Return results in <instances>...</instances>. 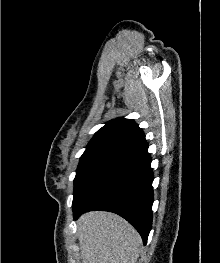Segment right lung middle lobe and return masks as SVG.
I'll list each match as a JSON object with an SVG mask.
<instances>
[{
  "label": "right lung middle lobe",
  "instance_id": "1",
  "mask_svg": "<svg viewBox=\"0 0 220 263\" xmlns=\"http://www.w3.org/2000/svg\"><path fill=\"white\" fill-rule=\"evenodd\" d=\"M116 154L112 151L84 152L80 158L74 179L73 203L79 199L82 192L99 170Z\"/></svg>",
  "mask_w": 220,
  "mask_h": 263
}]
</instances>
